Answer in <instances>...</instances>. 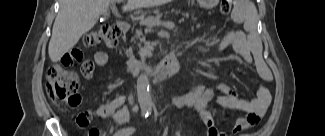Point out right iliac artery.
Returning a JSON list of instances; mask_svg holds the SVG:
<instances>
[{
    "instance_id": "obj_1",
    "label": "right iliac artery",
    "mask_w": 325,
    "mask_h": 136,
    "mask_svg": "<svg viewBox=\"0 0 325 136\" xmlns=\"http://www.w3.org/2000/svg\"><path fill=\"white\" fill-rule=\"evenodd\" d=\"M148 116V114L145 115V118ZM135 131L134 128H126V129H122V130H119L117 133H116V136H129L131 135L133 132Z\"/></svg>"
}]
</instances>
